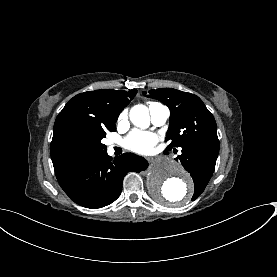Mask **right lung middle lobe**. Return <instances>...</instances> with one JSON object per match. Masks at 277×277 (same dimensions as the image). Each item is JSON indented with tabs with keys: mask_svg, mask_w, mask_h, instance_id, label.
Masks as SVG:
<instances>
[{
	"mask_svg": "<svg viewBox=\"0 0 277 277\" xmlns=\"http://www.w3.org/2000/svg\"><path fill=\"white\" fill-rule=\"evenodd\" d=\"M105 136V134L94 137L81 135L66 147L57 149L51 153L54 169L107 150L106 146L101 143Z\"/></svg>",
	"mask_w": 277,
	"mask_h": 277,
	"instance_id": "1",
	"label": "right lung middle lobe"
}]
</instances>
